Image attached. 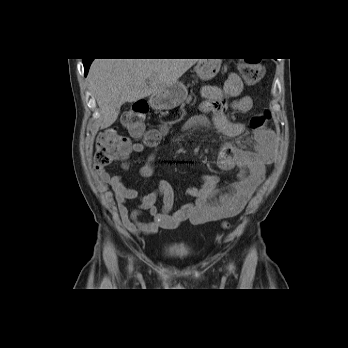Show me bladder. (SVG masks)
Returning a JSON list of instances; mask_svg holds the SVG:
<instances>
[{"label":"bladder","instance_id":"31cf9c89","mask_svg":"<svg viewBox=\"0 0 348 348\" xmlns=\"http://www.w3.org/2000/svg\"><path fill=\"white\" fill-rule=\"evenodd\" d=\"M188 251L189 247L183 243H168L163 248V253L172 257L184 256Z\"/></svg>","mask_w":348,"mask_h":348}]
</instances>
